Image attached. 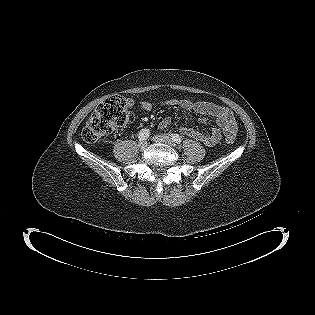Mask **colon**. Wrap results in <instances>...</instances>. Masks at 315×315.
I'll return each mask as SVG.
<instances>
[{
	"mask_svg": "<svg viewBox=\"0 0 315 315\" xmlns=\"http://www.w3.org/2000/svg\"><path fill=\"white\" fill-rule=\"evenodd\" d=\"M132 118L126 99L120 95H113L93 111L82 130V138L88 143L97 142L115 129L130 123ZM226 141L232 143L234 138L226 136Z\"/></svg>",
	"mask_w": 315,
	"mask_h": 315,
	"instance_id": "5ec220e1",
	"label": "colon"
}]
</instances>
